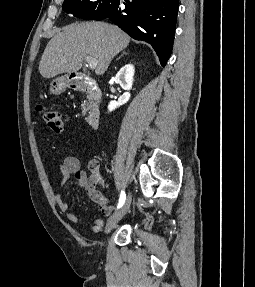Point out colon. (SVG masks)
I'll list each match as a JSON object with an SVG mask.
<instances>
[{"instance_id":"5ec220e1","label":"colon","mask_w":255,"mask_h":287,"mask_svg":"<svg viewBox=\"0 0 255 287\" xmlns=\"http://www.w3.org/2000/svg\"><path fill=\"white\" fill-rule=\"evenodd\" d=\"M38 110L42 113L43 119L47 127L55 133H60L63 129V119L59 112L46 109L42 106L38 107ZM92 172H95V167L91 168Z\"/></svg>"}]
</instances>
